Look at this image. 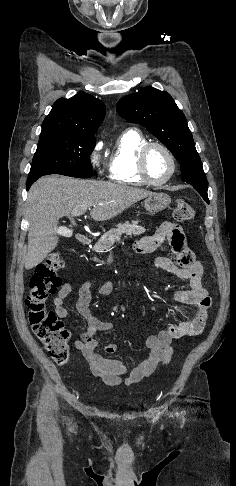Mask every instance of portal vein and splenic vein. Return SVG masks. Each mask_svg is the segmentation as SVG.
I'll return each instance as SVG.
<instances>
[{
    "label": "portal vein and splenic vein",
    "instance_id": "1",
    "mask_svg": "<svg viewBox=\"0 0 236 486\" xmlns=\"http://www.w3.org/2000/svg\"><path fill=\"white\" fill-rule=\"evenodd\" d=\"M87 208H81V209H75L74 211L71 212V215L73 217L80 216L86 212ZM120 238H117V241H119Z\"/></svg>",
    "mask_w": 236,
    "mask_h": 486
}]
</instances>
